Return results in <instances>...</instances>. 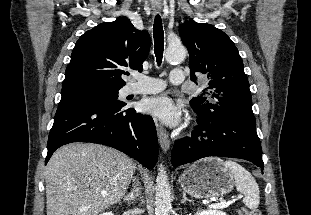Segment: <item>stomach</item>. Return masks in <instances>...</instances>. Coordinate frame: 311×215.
Listing matches in <instances>:
<instances>
[{
	"label": "stomach",
	"mask_w": 311,
	"mask_h": 215,
	"mask_svg": "<svg viewBox=\"0 0 311 215\" xmlns=\"http://www.w3.org/2000/svg\"><path fill=\"white\" fill-rule=\"evenodd\" d=\"M179 184L197 199H212L231 192L234 178L220 158L209 157L189 166L180 175Z\"/></svg>",
	"instance_id": "stomach-1"
}]
</instances>
